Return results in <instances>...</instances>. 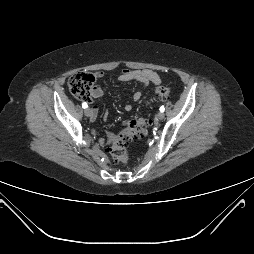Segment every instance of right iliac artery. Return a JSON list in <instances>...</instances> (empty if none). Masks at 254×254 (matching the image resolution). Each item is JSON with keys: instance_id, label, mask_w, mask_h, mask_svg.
Masks as SVG:
<instances>
[{"instance_id": "obj_1", "label": "right iliac artery", "mask_w": 254, "mask_h": 254, "mask_svg": "<svg viewBox=\"0 0 254 254\" xmlns=\"http://www.w3.org/2000/svg\"><path fill=\"white\" fill-rule=\"evenodd\" d=\"M82 107H83V108H87V107H88L87 103H85V102L82 103Z\"/></svg>"}]
</instances>
